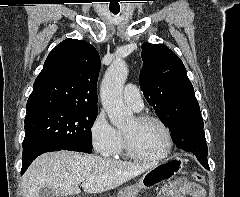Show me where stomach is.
<instances>
[{
  "label": "stomach",
  "mask_w": 240,
  "mask_h": 197,
  "mask_svg": "<svg viewBox=\"0 0 240 197\" xmlns=\"http://www.w3.org/2000/svg\"><path fill=\"white\" fill-rule=\"evenodd\" d=\"M183 164V158L178 156L170 157L167 161L147 170L138 183L121 189L118 197H137L140 190L153 188L165 180L173 178L181 171Z\"/></svg>",
  "instance_id": "obj_1"
}]
</instances>
